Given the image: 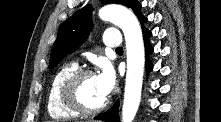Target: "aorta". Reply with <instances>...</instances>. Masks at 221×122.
Segmentation results:
<instances>
[{
	"label": "aorta",
	"mask_w": 221,
	"mask_h": 122,
	"mask_svg": "<svg viewBox=\"0 0 221 122\" xmlns=\"http://www.w3.org/2000/svg\"><path fill=\"white\" fill-rule=\"evenodd\" d=\"M102 20L122 29L126 41L127 74L125 82L122 122H132L141 100L145 52L140 24L128 8L109 4L99 11Z\"/></svg>",
	"instance_id": "762f6f07"
}]
</instances>
